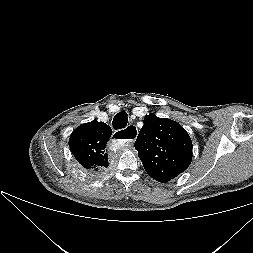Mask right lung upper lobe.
Returning a JSON list of instances; mask_svg holds the SVG:
<instances>
[{"instance_id": "1", "label": "right lung upper lobe", "mask_w": 253, "mask_h": 253, "mask_svg": "<svg viewBox=\"0 0 253 253\" xmlns=\"http://www.w3.org/2000/svg\"><path fill=\"white\" fill-rule=\"evenodd\" d=\"M112 135L104 122L93 120L77 127L69 138V147L76 160L87 170H103L108 167L106 144Z\"/></svg>"}]
</instances>
